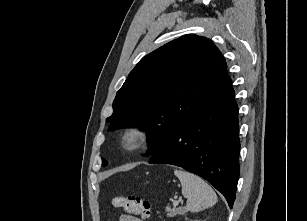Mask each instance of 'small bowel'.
Returning a JSON list of instances; mask_svg holds the SVG:
<instances>
[{"mask_svg":"<svg viewBox=\"0 0 307 221\" xmlns=\"http://www.w3.org/2000/svg\"><path fill=\"white\" fill-rule=\"evenodd\" d=\"M119 221H142V220L140 218L134 217L132 215L122 214L119 217Z\"/></svg>","mask_w":307,"mask_h":221,"instance_id":"small-bowel-1","label":"small bowel"}]
</instances>
